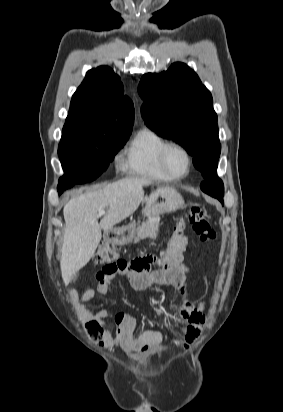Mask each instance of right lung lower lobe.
<instances>
[{
	"label": "right lung lower lobe",
	"mask_w": 283,
	"mask_h": 412,
	"mask_svg": "<svg viewBox=\"0 0 283 412\" xmlns=\"http://www.w3.org/2000/svg\"><path fill=\"white\" fill-rule=\"evenodd\" d=\"M77 183H73V182H66V183H60L58 185V192L59 194H61L65 189L72 187L73 185H75Z\"/></svg>",
	"instance_id": "1"
}]
</instances>
